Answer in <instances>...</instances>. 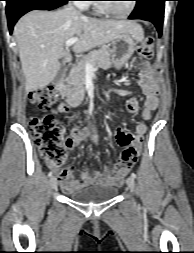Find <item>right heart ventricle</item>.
Returning a JSON list of instances; mask_svg holds the SVG:
<instances>
[{
  "label": "right heart ventricle",
  "mask_w": 194,
  "mask_h": 253,
  "mask_svg": "<svg viewBox=\"0 0 194 253\" xmlns=\"http://www.w3.org/2000/svg\"><path fill=\"white\" fill-rule=\"evenodd\" d=\"M97 12L101 13V10L99 8H97Z\"/></svg>",
  "instance_id": "e07e8e85"
}]
</instances>
